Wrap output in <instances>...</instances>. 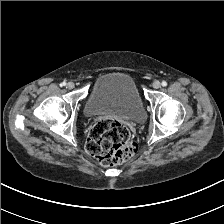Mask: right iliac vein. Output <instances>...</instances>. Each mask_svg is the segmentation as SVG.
<instances>
[{
	"instance_id": "obj_1",
	"label": "right iliac vein",
	"mask_w": 224,
	"mask_h": 224,
	"mask_svg": "<svg viewBox=\"0 0 224 224\" xmlns=\"http://www.w3.org/2000/svg\"><path fill=\"white\" fill-rule=\"evenodd\" d=\"M75 87V84L73 82H68L67 85H66V88L71 90Z\"/></svg>"
}]
</instances>
